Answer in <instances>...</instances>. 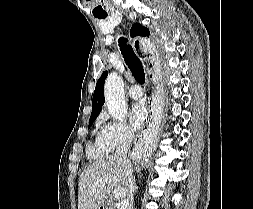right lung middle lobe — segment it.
Wrapping results in <instances>:
<instances>
[{
	"instance_id": "dd1d6c3e",
	"label": "right lung middle lobe",
	"mask_w": 253,
	"mask_h": 209,
	"mask_svg": "<svg viewBox=\"0 0 253 209\" xmlns=\"http://www.w3.org/2000/svg\"><path fill=\"white\" fill-rule=\"evenodd\" d=\"M94 121H95V119H90V121H89V127L93 124Z\"/></svg>"
}]
</instances>
